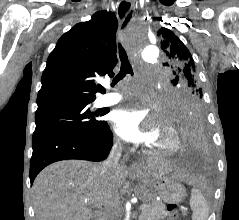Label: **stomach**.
<instances>
[{
    "mask_svg": "<svg viewBox=\"0 0 239 220\" xmlns=\"http://www.w3.org/2000/svg\"><path fill=\"white\" fill-rule=\"evenodd\" d=\"M141 185L151 186L149 192H156V195L168 204L163 205V210H167V212H161V220H184L186 212H180V210H184V205L177 204L185 198L186 191L178 179L173 176L155 178V183H141Z\"/></svg>",
    "mask_w": 239,
    "mask_h": 220,
    "instance_id": "obj_1",
    "label": "stomach"
}]
</instances>
